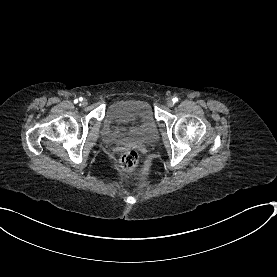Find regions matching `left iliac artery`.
Here are the masks:
<instances>
[{
  "label": "left iliac artery",
  "mask_w": 277,
  "mask_h": 277,
  "mask_svg": "<svg viewBox=\"0 0 277 277\" xmlns=\"http://www.w3.org/2000/svg\"><path fill=\"white\" fill-rule=\"evenodd\" d=\"M173 101H174V102H178V98L175 97V98L173 99Z\"/></svg>",
  "instance_id": "left-iliac-artery-1"
}]
</instances>
